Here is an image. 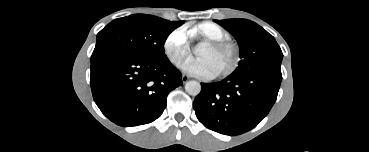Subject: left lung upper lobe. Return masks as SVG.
Here are the masks:
<instances>
[{
    "mask_svg": "<svg viewBox=\"0 0 369 152\" xmlns=\"http://www.w3.org/2000/svg\"><path fill=\"white\" fill-rule=\"evenodd\" d=\"M229 31L240 47V62L233 74L260 73L281 75L282 51L274 37L256 23L246 19L214 20Z\"/></svg>",
    "mask_w": 369,
    "mask_h": 152,
    "instance_id": "obj_1",
    "label": "left lung upper lobe"
}]
</instances>
